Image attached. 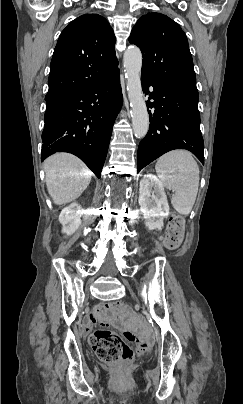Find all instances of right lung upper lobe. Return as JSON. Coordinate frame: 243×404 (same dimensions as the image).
<instances>
[{
    "label": "right lung upper lobe",
    "instance_id": "right-lung-upper-lobe-1",
    "mask_svg": "<svg viewBox=\"0 0 243 404\" xmlns=\"http://www.w3.org/2000/svg\"><path fill=\"white\" fill-rule=\"evenodd\" d=\"M115 42L104 17L84 14L73 20L55 47L45 100L81 90L119 71Z\"/></svg>",
    "mask_w": 243,
    "mask_h": 404
}]
</instances>
